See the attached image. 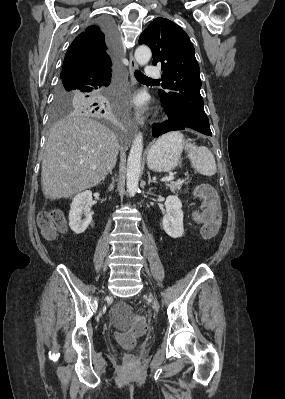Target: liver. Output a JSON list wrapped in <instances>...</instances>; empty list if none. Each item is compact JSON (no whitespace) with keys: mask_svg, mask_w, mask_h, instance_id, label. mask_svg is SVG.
I'll return each instance as SVG.
<instances>
[{"mask_svg":"<svg viewBox=\"0 0 285 399\" xmlns=\"http://www.w3.org/2000/svg\"><path fill=\"white\" fill-rule=\"evenodd\" d=\"M118 151L112 131L72 112L49 132L42 159L43 194L49 199L67 198L98 185L115 166Z\"/></svg>","mask_w":285,"mask_h":399,"instance_id":"6515ba94","label":"liver"}]
</instances>
